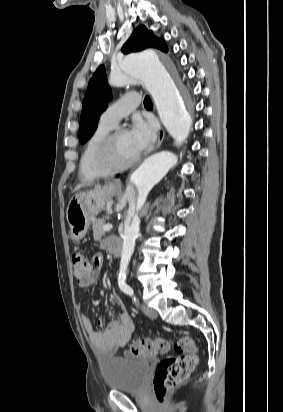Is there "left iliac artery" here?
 <instances>
[{
  "label": "left iliac artery",
  "mask_w": 283,
  "mask_h": 412,
  "mask_svg": "<svg viewBox=\"0 0 283 412\" xmlns=\"http://www.w3.org/2000/svg\"><path fill=\"white\" fill-rule=\"evenodd\" d=\"M118 284L124 293L131 296L135 302L137 301L133 289L125 282V275H119Z\"/></svg>",
  "instance_id": "1"
}]
</instances>
